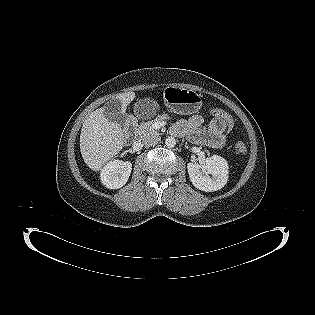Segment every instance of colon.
Returning a JSON list of instances; mask_svg holds the SVG:
<instances>
[{"label":"colon","mask_w":315,"mask_h":315,"mask_svg":"<svg viewBox=\"0 0 315 315\" xmlns=\"http://www.w3.org/2000/svg\"><path fill=\"white\" fill-rule=\"evenodd\" d=\"M211 115L215 118H221L226 122L227 130H235V121L231 118V114L224 112L221 109L213 108L211 109ZM233 150L238 154H244L247 152V146L243 142H237L233 146Z\"/></svg>","instance_id":"1"}]
</instances>
